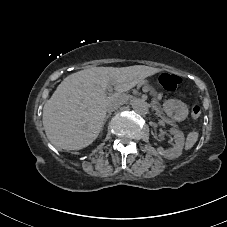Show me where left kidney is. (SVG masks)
<instances>
[{
    "label": "left kidney",
    "mask_w": 227,
    "mask_h": 227,
    "mask_svg": "<svg viewBox=\"0 0 227 227\" xmlns=\"http://www.w3.org/2000/svg\"><path fill=\"white\" fill-rule=\"evenodd\" d=\"M170 133L173 134L175 138L174 146L167 150L163 149L162 147H159L157 151L164 158L174 159L179 157L182 154L185 138H184L183 132L178 129L171 128Z\"/></svg>",
    "instance_id": "1"
}]
</instances>
